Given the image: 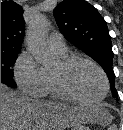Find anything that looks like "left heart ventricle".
<instances>
[{"label": "left heart ventricle", "instance_id": "left-heart-ventricle-1", "mask_svg": "<svg viewBox=\"0 0 123 130\" xmlns=\"http://www.w3.org/2000/svg\"><path fill=\"white\" fill-rule=\"evenodd\" d=\"M58 68V64L53 70ZM67 80L72 91L85 99H97L104 92V81L99 71L85 62L76 63L68 72Z\"/></svg>", "mask_w": 123, "mask_h": 130}]
</instances>
